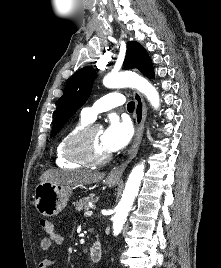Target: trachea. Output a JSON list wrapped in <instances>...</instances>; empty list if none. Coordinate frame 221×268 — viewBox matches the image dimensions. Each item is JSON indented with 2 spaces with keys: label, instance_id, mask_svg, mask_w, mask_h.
I'll return each mask as SVG.
<instances>
[{
  "label": "trachea",
  "instance_id": "trachea-1",
  "mask_svg": "<svg viewBox=\"0 0 221 268\" xmlns=\"http://www.w3.org/2000/svg\"><path fill=\"white\" fill-rule=\"evenodd\" d=\"M135 108V103L134 102H129L128 105H127V109L129 111H133Z\"/></svg>",
  "mask_w": 221,
  "mask_h": 268
}]
</instances>
